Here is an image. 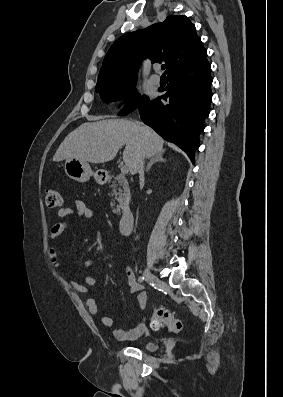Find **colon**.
Listing matches in <instances>:
<instances>
[{"label":"colon","instance_id":"5ec220e1","mask_svg":"<svg viewBox=\"0 0 283 397\" xmlns=\"http://www.w3.org/2000/svg\"><path fill=\"white\" fill-rule=\"evenodd\" d=\"M45 203L50 208H59L62 205L61 194L52 187L45 189ZM165 326L171 331L180 332L183 322L175 316V313L165 306H155L151 314V327L158 329Z\"/></svg>","mask_w":283,"mask_h":397}]
</instances>
